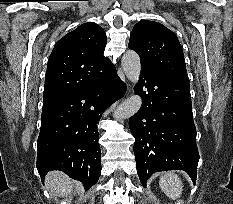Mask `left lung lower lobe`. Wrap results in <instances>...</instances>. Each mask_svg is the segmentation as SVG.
Wrapping results in <instances>:
<instances>
[{"instance_id": "left-lung-lower-lobe-1", "label": "left lung lower lobe", "mask_w": 233, "mask_h": 204, "mask_svg": "<svg viewBox=\"0 0 233 204\" xmlns=\"http://www.w3.org/2000/svg\"><path fill=\"white\" fill-rule=\"evenodd\" d=\"M134 90L143 99L129 120L142 185L152 173L174 169L186 171L195 183L199 153L189 82L141 68Z\"/></svg>"}]
</instances>
